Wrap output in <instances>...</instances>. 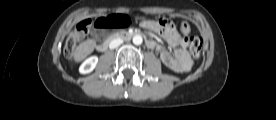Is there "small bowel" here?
Instances as JSON below:
<instances>
[{
	"label": "small bowel",
	"mask_w": 276,
	"mask_h": 120,
	"mask_svg": "<svg viewBox=\"0 0 276 120\" xmlns=\"http://www.w3.org/2000/svg\"><path fill=\"white\" fill-rule=\"evenodd\" d=\"M141 26L146 30L158 33L174 49V54L172 55L154 40L148 39L149 44L147 46L159 52L161 61L167 67L176 72H186L191 68L192 60L187 51L188 41L177 34L173 25L161 27L159 21L144 20L141 22ZM93 35L97 36L98 34L94 32Z\"/></svg>",
	"instance_id": "1"
}]
</instances>
